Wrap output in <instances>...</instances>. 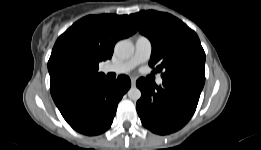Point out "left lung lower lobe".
I'll list each match as a JSON object with an SVG mask.
<instances>
[{
  "label": "left lung lower lobe",
  "mask_w": 261,
  "mask_h": 150,
  "mask_svg": "<svg viewBox=\"0 0 261 150\" xmlns=\"http://www.w3.org/2000/svg\"><path fill=\"white\" fill-rule=\"evenodd\" d=\"M204 83L205 79L191 74L163 78L162 86L138 79L142 96L136 108L142 124L160 135L179 130L192 117Z\"/></svg>",
  "instance_id": "0a47b994"
}]
</instances>
